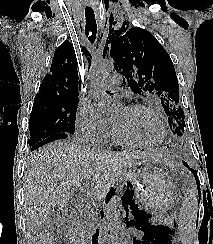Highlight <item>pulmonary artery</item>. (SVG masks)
Instances as JSON below:
<instances>
[{
    "mask_svg": "<svg viewBox=\"0 0 213 244\" xmlns=\"http://www.w3.org/2000/svg\"><path fill=\"white\" fill-rule=\"evenodd\" d=\"M122 83H123V76L119 73H113L103 83L102 87L106 91L117 92L121 89Z\"/></svg>",
    "mask_w": 213,
    "mask_h": 244,
    "instance_id": "obj_1",
    "label": "pulmonary artery"
}]
</instances>
